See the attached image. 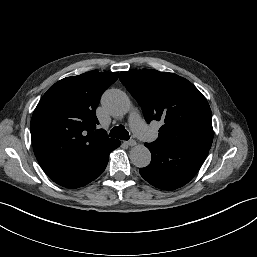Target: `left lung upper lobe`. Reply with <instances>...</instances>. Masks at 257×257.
<instances>
[{
  "instance_id": "5c2ea615",
  "label": "left lung upper lobe",
  "mask_w": 257,
  "mask_h": 257,
  "mask_svg": "<svg viewBox=\"0 0 257 257\" xmlns=\"http://www.w3.org/2000/svg\"><path fill=\"white\" fill-rule=\"evenodd\" d=\"M120 81L137 100L147 123L163 122L153 144L210 149L211 109L191 82L176 74L152 69L121 72Z\"/></svg>"
}]
</instances>
